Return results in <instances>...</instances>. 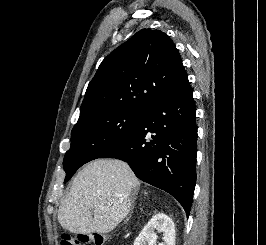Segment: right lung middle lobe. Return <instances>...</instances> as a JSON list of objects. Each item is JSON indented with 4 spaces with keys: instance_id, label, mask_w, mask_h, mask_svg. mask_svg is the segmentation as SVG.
I'll list each match as a JSON object with an SVG mask.
<instances>
[{
    "instance_id": "dd1d6c3e",
    "label": "right lung middle lobe",
    "mask_w": 266,
    "mask_h": 245,
    "mask_svg": "<svg viewBox=\"0 0 266 245\" xmlns=\"http://www.w3.org/2000/svg\"><path fill=\"white\" fill-rule=\"evenodd\" d=\"M145 110L106 108L79 118L71 132V147L63 167L65 182L85 163L99 158L125 141L135 130Z\"/></svg>"
}]
</instances>
